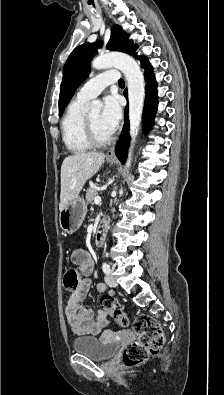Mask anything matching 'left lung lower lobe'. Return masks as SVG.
<instances>
[{
	"mask_svg": "<svg viewBox=\"0 0 224 395\" xmlns=\"http://www.w3.org/2000/svg\"><path fill=\"white\" fill-rule=\"evenodd\" d=\"M138 60L141 61L142 67L145 69V77L147 79L146 83V99L144 105V113L143 119L144 124L147 129L152 126L153 118L155 116L157 110V89H156V81L152 72V66L147 62L146 57L144 56H135ZM124 95L127 97V93L125 91ZM129 120H128V113L126 108V119L125 124L121 133L120 140L118 141L115 153L118 159L124 163L127 156V149L129 146Z\"/></svg>",
	"mask_w": 224,
	"mask_h": 395,
	"instance_id": "0a47b994",
	"label": "left lung lower lobe"
}]
</instances>
